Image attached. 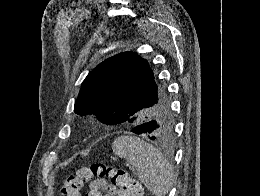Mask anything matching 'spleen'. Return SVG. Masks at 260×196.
<instances>
[{
	"instance_id": "1",
	"label": "spleen",
	"mask_w": 260,
	"mask_h": 196,
	"mask_svg": "<svg viewBox=\"0 0 260 196\" xmlns=\"http://www.w3.org/2000/svg\"><path fill=\"white\" fill-rule=\"evenodd\" d=\"M113 154L125 158L136 176L153 196H166L171 190L174 170L152 144L137 136H119L112 144Z\"/></svg>"
}]
</instances>
